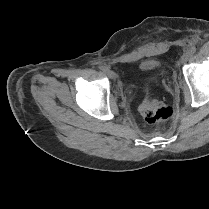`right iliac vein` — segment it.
<instances>
[{"mask_svg": "<svg viewBox=\"0 0 209 209\" xmlns=\"http://www.w3.org/2000/svg\"><path fill=\"white\" fill-rule=\"evenodd\" d=\"M105 72L107 73V75H108L111 79H115V78H116V74H115L113 71L109 70L108 68H107V70H106Z\"/></svg>", "mask_w": 209, "mask_h": 209, "instance_id": "right-iliac-vein-1", "label": "right iliac vein"}]
</instances>
